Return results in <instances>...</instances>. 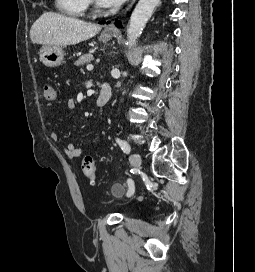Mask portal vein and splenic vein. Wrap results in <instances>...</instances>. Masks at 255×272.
<instances>
[{
  "label": "portal vein and splenic vein",
  "instance_id": "obj_1",
  "mask_svg": "<svg viewBox=\"0 0 255 272\" xmlns=\"http://www.w3.org/2000/svg\"><path fill=\"white\" fill-rule=\"evenodd\" d=\"M87 70L92 71L93 70V65H91V64L87 65Z\"/></svg>",
  "mask_w": 255,
  "mask_h": 272
}]
</instances>
